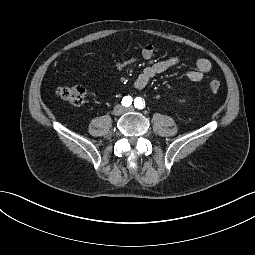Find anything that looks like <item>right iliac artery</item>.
I'll use <instances>...</instances> for the list:
<instances>
[{"instance_id":"1","label":"right iliac artery","mask_w":255,"mask_h":255,"mask_svg":"<svg viewBox=\"0 0 255 255\" xmlns=\"http://www.w3.org/2000/svg\"><path fill=\"white\" fill-rule=\"evenodd\" d=\"M132 104V98L130 96H126L122 99V105L128 107Z\"/></svg>"}]
</instances>
